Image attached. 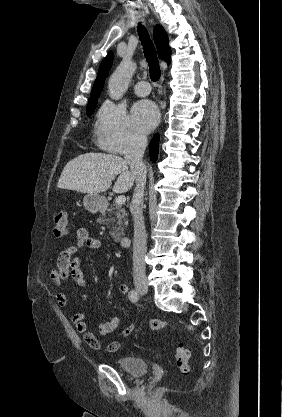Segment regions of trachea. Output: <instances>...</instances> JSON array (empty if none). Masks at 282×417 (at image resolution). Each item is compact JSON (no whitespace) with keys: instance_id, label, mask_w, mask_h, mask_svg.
<instances>
[{"instance_id":"trachea-1","label":"trachea","mask_w":282,"mask_h":417,"mask_svg":"<svg viewBox=\"0 0 282 417\" xmlns=\"http://www.w3.org/2000/svg\"><path fill=\"white\" fill-rule=\"evenodd\" d=\"M137 31L144 49L145 57L149 65L150 79L153 82H157L160 79L161 71L157 58L156 49L150 39L147 30L142 25L138 26Z\"/></svg>"}]
</instances>
